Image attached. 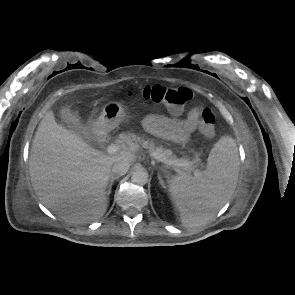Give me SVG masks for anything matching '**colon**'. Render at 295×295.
Masks as SVG:
<instances>
[{
	"mask_svg": "<svg viewBox=\"0 0 295 295\" xmlns=\"http://www.w3.org/2000/svg\"><path fill=\"white\" fill-rule=\"evenodd\" d=\"M136 94L147 101L166 106L174 114H179L192 98V92L187 88H169L161 85H148ZM199 130L206 136L214 134L215 115L211 109L201 112Z\"/></svg>",
	"mask_w": 295,
	"mask_h": 295,
	"instance_id": "obj_1",
	"label": "colon"
}]
</instances>
